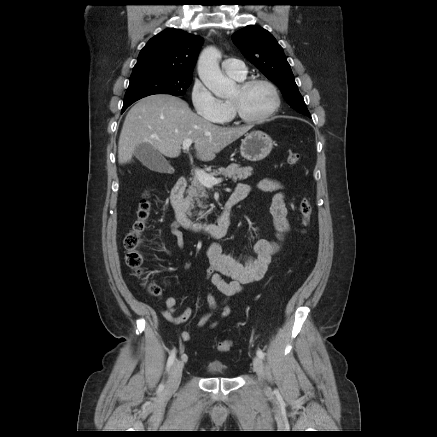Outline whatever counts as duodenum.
Listing matches in <instances>:
<instances>
[{
  "label": "duodenum",
  "instance_id": "1",
  "mask_svg": "<svg viewBox=\"0 0 437 437\" xmlns=\"http://www.w3.org/2000/svg\"><path fill=\"white\" fill-rule=\"evenodd\" d=\"M187 185L188 177L183 175L179 177L171 190L170 200L176 221L181 227L194 233H201L212 238L225 236L231 225V211L240 198L234 194L229 197L216 223L197 222L189 217L185 206L184 193Z\"/></svg>",
  "mask_w": 437,
  "mask_h": 437
}]
</instances>
